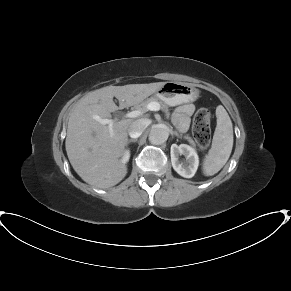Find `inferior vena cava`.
I'll use <instances>...</instances> for the list:
<instances>
[{"mask_svg": "<svg viewBox=\"0 0 291 291\" xmlns=\"http://www.w3.org/2000/svg\"><path fill=\"white\" fill-rule=\"evenodd\" d=\"M149 124H150V120L144 119V118L138 119L132 122L128 128V133L130 137L138 138Z\"/></svg>", "mask_w": 291, "mask_h": 291, "instance_id": "obj_1", "label": "inferior vena cava"}]
</instances>
